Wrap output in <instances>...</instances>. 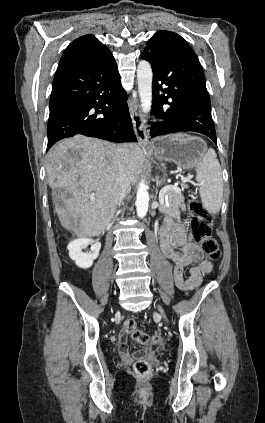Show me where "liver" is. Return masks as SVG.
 <instances>
[{
    "instance_id": "1",
    "label": "liver",
    "mask_w": 265,
    "mask_h": 423,
    "mask_svg": "<svg viewBox=\"0 0 265 423\" xmlns=\"http://www.w3.org/2000/svg\"><path fill=\"white\" fill-rule=\"evenodd\" d=\"M120 158L126 161L130 182L135 183L144 160L136 144L116 146L75 135L48 152L46 171L55 212L61 225L77 237L99 235L114 216ZM58 189H63L60 195Z\"/></svg>"
}]
</instances>
